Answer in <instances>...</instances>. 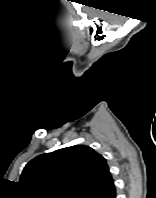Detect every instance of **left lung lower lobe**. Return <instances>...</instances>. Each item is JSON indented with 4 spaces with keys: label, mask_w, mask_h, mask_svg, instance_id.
<instances>
[{
    "label": "left lung lower lobe",
    "mask_w": 156,
    "mask_h": 198,
    "mask_svg": "<svg viewBox=\"0 0 156 198\" xmlns=\"http://www.w3.org/2000/svg\"><path fill=\"white\" fill-rule=\"evenodd\" d=\"M90 198H116V189L112 177L100 190L91 195Z\"/></svg>",
    "instance_id": "1"
}]
</instances>
